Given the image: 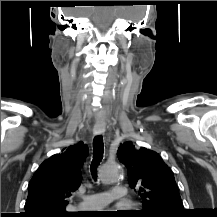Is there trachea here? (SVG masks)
Wrapping results in <instances>:
<instances>
[{
    "instance_id": "3493384b",
    "label": "trachea",
    "mask_w": 217,
    "mask_h": 217,
    "mask_svg": "<svg viewBox=\"0 0 217 217\" xmlns=\"http://www.w3.org/2000/svg\"><path fill=\"white\" fill-rule=\"evenodd\" d=\"M103 151H104L103 138L101 135H98L93 140V160L91 164V172L94 179H96L97 176L96 175L97 166L103 158Z\"/></svg>"
}]
</instances>
